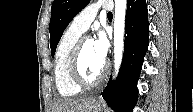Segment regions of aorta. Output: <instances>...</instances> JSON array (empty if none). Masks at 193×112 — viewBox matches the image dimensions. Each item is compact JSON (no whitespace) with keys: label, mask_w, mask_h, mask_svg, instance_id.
Returning a JSON list of instances; mask_svg holds the SVG:
<instances>
[{"label":"aorta","mask_w":193,"mask_h":112,"mask_svg":"<svg viewBox=\"0 0 193 112\" xmlns=\"http://www.w3.org/2000/svg\"><path fill=\"white\" fill-rule=\"evenodd\" d=\"M126 0H115L114 14V69L117 74L123 57Z\"/></svg>","instance_id":"obj_1"}]
</instances>
